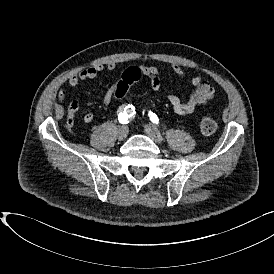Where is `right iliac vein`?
<instances>
[{"mask_svg": "<svg viewBox=\"0 0 274 274\" xmlns=\"http://www.w3.org/2000/svg\"><path fill=\"white\" fill-rule=\"evenodd\" d=\"M128 135V127L127 126H122L119 128L117 132V137L119 140H124Z\"/></svg>", "mask_w": 274, "mask_h": 274, "instance_id": "right-iliac-vein-1", "label": "right iliac vein"}]
</instances>
